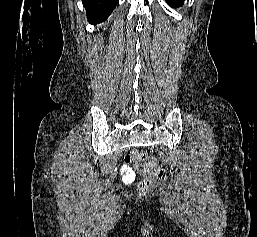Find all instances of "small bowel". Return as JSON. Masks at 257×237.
<instances>
[{
    "mask_svg": "<svg viewBox=\"0 0 257 237\" xmlns=\"http://www.w3.org/2000/svg\"><path fill=\"white\" fill-rule=\"evenodd\" d=\"M121 174L123 175V178L125 181H132L134 180V173L131 170V168L127 165H124L121 167Z\"/></svg>",
    "mask_w": 257,
    "mask_h": 237,
    "instance_id": "obj_1",
    "label": "small bowel"
}]
</instances>
